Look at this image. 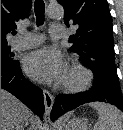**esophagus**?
Instances as JSON below:
<instances>
[{"label":"esophagus","mask_w":123,"mask_h":130,"mask_svg":"<svg viewBox=\"0 0 123 130\" xmlns=\"http://www.w3.org/2000/svg\"><path fill=\"white\" fill-rule=\"evenodd\" d=\"M43 97H44L45 113L46 115H49L53 107L54 98L53 95L46 89L43 90Z\"/></svg>","instance_id":"34e87169"}]
</instances>
